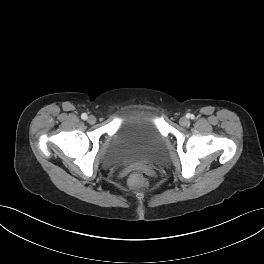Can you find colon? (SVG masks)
I'll use <instances>...</instances> for the list:
<instances>
[{"mask_svg": "<svg viewBox=\"0 0 264 264\" xmlns=\"http://www.w3.org/2000/svg\"><path fill=\"white\" fill-rule=\"evenodd\" d=\"M130 184L134 188L143 189L148 186V181L142 174L134 172L130 176Z\"/></svg>", "mask_w": 264, "mask_h": 264, "instance_id": "obj_1", "label": "colon"}]
</instances>
